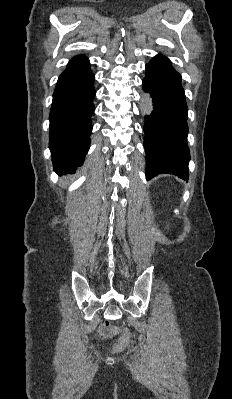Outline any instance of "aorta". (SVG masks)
Listing matches in <instances>:
<instances>
[{"instance_id": "obj_1", "label": "aorta", "mask_w": 232, "mask_h": 399, "mask_svg": "<svg viewBox=\"0 0 232 399\" xmlns=\"http://www.w3.org/2000/svg\"><path fill=\"white\" fill-rule=\"evenodd\" d=\"M143 103V111L148 115L152 112L153 110V103L150 95H145L144 98L142 99Z\"/></svg>"}]
</instances>
